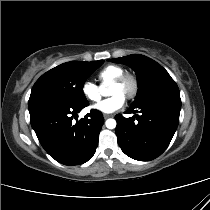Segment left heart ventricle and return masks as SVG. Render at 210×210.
<instances>
[{
    "instance_id": "1",
    "label": "left heart ventricle",
    "mask_w": 210,
    "mask_h": 210,
    "mask_svg": "<svg viewBox=\"0 0 210 210\" xmlns=\"http://www.w3.org/2000/svg\"><path fill=\"white\" fill-rule=\"evenodd\" d=\"M129 88V84H126L124 86H111L109 93L110 95L121 94L122 96H125Z\"/></svg>"
}]
</instances>
